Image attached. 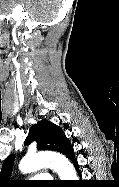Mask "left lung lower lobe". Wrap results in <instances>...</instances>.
<instances>
[{
    "label": "left lung lower lobe",
    "mask_w": 119,
    "mask_h": 187,
    "mask_svg": "<svg viewBox=\"0 0 119 187\" xmlns=\"http://www.w3.org/2000/svg\"><path fill=\"white\" fill-rule=\"evenodd\" d=\"M66 157L72 162V164L74 165V167L76 168L77 172L79 173V175L81 176V173L79 171V166H78V162L76 161L75 155H74V149L73 147H71V149L69 150L68 154L66 155Z\"/></svg>",
    "instance_id": "1"
}]
</instances>
